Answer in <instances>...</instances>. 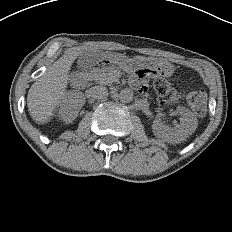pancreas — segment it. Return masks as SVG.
<instances>
[{
    "instance_id": "cf45deb5",
    "label": "pancreas",
    "mask_w": 232,
    "mask_h": 232,
    "mask_svg": "<svg viewBox=\"0 0 232 232\" xmlns=\"http://www.w3.org/2000/svg\"><path fill=\"white\" fill-rule=\"evenodd\" d=\"M101 74H102V75H107V74H106V73H104V72H102Z\"/></svg>"
}]
</instances>
